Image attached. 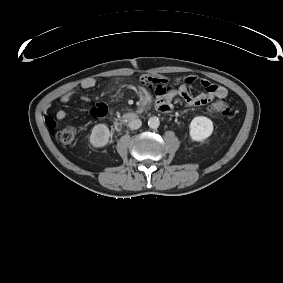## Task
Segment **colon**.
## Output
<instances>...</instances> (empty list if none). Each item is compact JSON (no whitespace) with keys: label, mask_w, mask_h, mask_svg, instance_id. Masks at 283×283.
Segmentation results:
<instances>
[{"label":"colon","mask_w":283,"mask_h":283,"mask_svg":"<svg viewBox=\"0 0 283 283\" xmlns=\"http://www.w3.org/2000/svg\"><path fill=\"white\" fill-rule=\"evenodd\" d=\"M207 111L214 116H228L230 108L224 100L211 103ZM76 139V131L73 128H64L57 133V140L65 147H70Z\"/></svg>","instance_id":"colon-1"}]
</instances>
